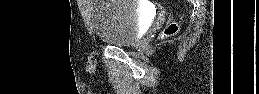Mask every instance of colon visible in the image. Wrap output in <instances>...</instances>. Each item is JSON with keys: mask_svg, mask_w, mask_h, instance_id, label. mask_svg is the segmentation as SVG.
<instances>
[{"mask_svg": "<svg viewBox=\"0 0 259 94\" xmlns=\"http://www.w3.org/2000/svg\"><path fill=\"white\" fill-rule=\"evenodd\" d=\"M178 30V25L177 23H171L168 25V27L165 29L163 36H171L175 34Z\"/></svg>", "mask_w": 259, "mask_h": 94, "instance_id": "5ec220e1", "label": "colon"}]
</instances>
